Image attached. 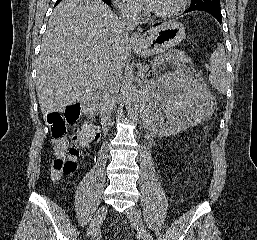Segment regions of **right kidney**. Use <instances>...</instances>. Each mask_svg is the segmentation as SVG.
<instances>
[{
	"mask_svg": "<svg viewBox=\"0 0 257 240\" xmlns=\"http://www.w3.org/2000/svg\"><path fill=\"white\" fill-rule=\"evenodd\" d=\"M93 134H94V132H93L92 128L89 125H87V123H85L82 126L81 131L79 132L80 146H82V147L88 146L93 138Z\"/></svg>",
	"mask_w": 257,
	"mask_h": 240,
	"instance_id": "ca27d5eb",
	"label": "right kidney"
}]
</instances>
